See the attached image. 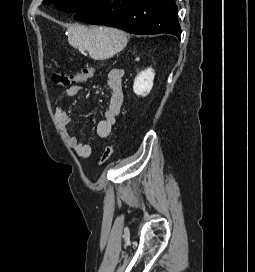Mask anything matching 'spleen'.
I'll use <instances>...</instances> for the list:
<instances>
[{
	"label": "spleen",
	"mask_w": 255,
	"mask_h": 272,
	"mask_svg": "<svg viewBox=\"0 0 255 272\" xmlns=\"http://www.w3.org/2000/svg\"><path fill=\"white\" fill-rule=\"evenodd\" d=\"M70 45L85 50L95 60L113 57L127 45L126 34L115 28L74 24L68 28Z\"/></svg>",
	"instance_id": "3e777b00"
}]
</instances>
